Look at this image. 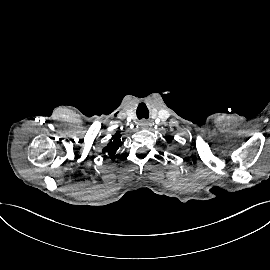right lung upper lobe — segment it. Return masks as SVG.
I'll return each mask as SVG.
<instances>
[{"label":"right lung upper lobe","instance_id":"obj_1","mask_svg":"<svg viewBox=\"0 0 270 270\" xmlns=\"http://www.w3.org/2000/svg\"><path fill=\"white\" fill-rule=\"evenodd\" d=\"M123 142L121 141L120 132H116V134L112 137L108 145L103 149V153H108L110 158L114 161L116 158L117 150L122 146Z\"/></svg>","mask_w":270,"mask_h":270}]
</instances>
